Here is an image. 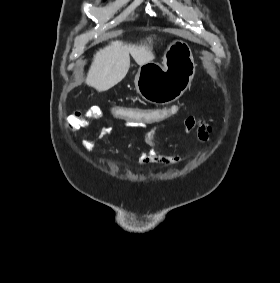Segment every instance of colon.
Masks as SVG:
<instances>
[{"label": "colon", "mask_w": 280, "mask_h": 283, "mask_svg": "<svg viewBox=\"0 0 280 283\" xmlns=\"http://www.w3.org/2000/svg\"><path fill=\"white\" fill-rule=\"evenodd\" d=\"M113 113L112 119L119 122H139L142 125H156V122H166V119H174L183 112V107L178 103L157 105V107H141V105H110Z\"/></svg>", "instance_id": "colon-1"}]
</instances>
